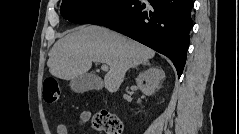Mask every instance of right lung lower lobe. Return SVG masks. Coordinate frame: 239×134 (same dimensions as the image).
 <instances>
[{"mask_svg": "<svg viewBox=\"0 0 239 134\" xmlns=\"http://www.w3.org/2000/svg\"><path fill=\"white\" fill-rule=\"evenodd\" d=\"M192 0H120L87 21L122 33L172 60L180 77L189 46Z\"/></svg>", "mask_w": 239, "mask_h": 134, "instance_id": "98d812e1", "label": "right lung lower lobe"}]
</instances>
